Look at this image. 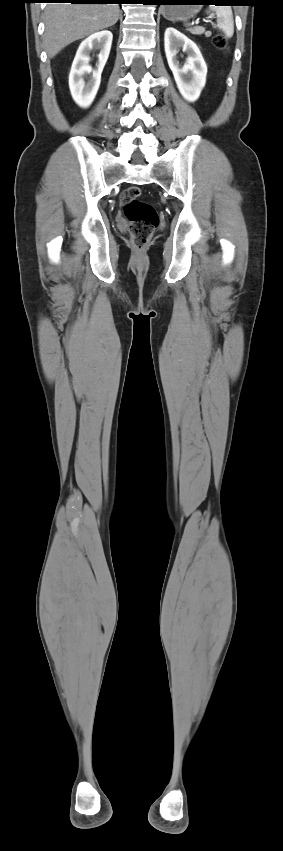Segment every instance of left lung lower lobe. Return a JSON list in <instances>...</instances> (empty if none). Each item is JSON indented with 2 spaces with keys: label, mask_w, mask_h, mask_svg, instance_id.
I'll list each match as a JSON object with an SVG mask.
<instances>
[{
  "label": "left lung lower lobe",
  "mask_w": 283,
  "mask_h": 851,
  "mask_svg": "<svg viewBox=\"0 0 283 851\" xmlns=\"http://www.w3.org/2000/svg\"><path fill=\"white\" fill-rule=\"evenodd\" d=\"M173 1L174 0H153L155 5H163V4H167V3H173ZM201 1L205 2V3H211V2L220 3V5H223L225 3H228V4L232 3L234 0H201ZM215 5L217 6V4H215Z\"/></svg>",
  "instance_id": "left-lung-lower-lobe-1"
}]
</instances>
